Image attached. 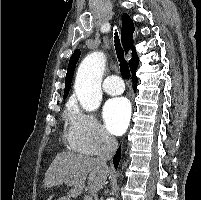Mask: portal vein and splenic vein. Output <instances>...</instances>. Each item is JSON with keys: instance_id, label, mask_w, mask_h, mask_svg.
Masks as SVG:
<instances>
[{"instance_id": "portal-vein-and-splenic-vein-1", "label": "portal vein and splenic vein", "mask_w": 201, "mask_h": 200, "mask_svg": "<svg viewBox=\"0 0 201 200\" xmlns=\"http://www.w3.org/2000/svg\"><path fill=\"white\" fill-rule=\"evenodd\" d=\"M68 186L74 185L75 182H66ZM84 200H92L90 196H85Z\"/></svg>"}]
</instances>
